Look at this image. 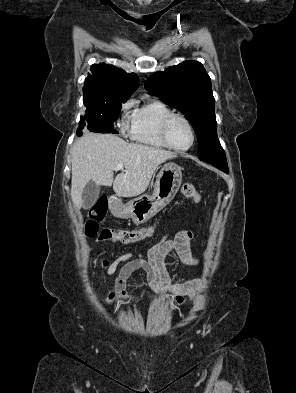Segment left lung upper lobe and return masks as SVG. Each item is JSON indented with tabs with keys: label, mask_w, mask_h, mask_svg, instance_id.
I'll list each match as a JSON object with an SVG mask.
<instances>
[{
	"label": "left lung upper lobe",
	"mask_w": 296,
	"mask_h": 393,
	"mask_svg": "<svg viewBox=\"0 0 296 393\" xmlns=\"http://www.w3.org/2000/svg\"><path fill=\"white\" fill-rule=\"evenodd\" d=\"M145 88L191 122L198 137L200 160L227 165L217 136L211 79L200 62L185 61L156 72L147 79Z\"/></svg>",
	"instance_id": "1"
}]
</instances>
